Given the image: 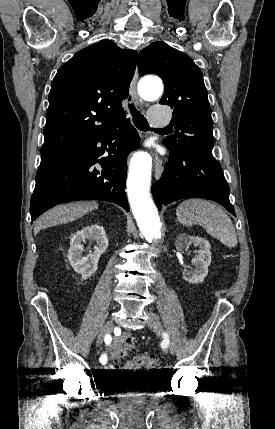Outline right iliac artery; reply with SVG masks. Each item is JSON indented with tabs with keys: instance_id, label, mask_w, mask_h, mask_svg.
Masks as SVG:
<instances>
[{
	"instance_id": "1",
	"label": "right iliac artery",
	"mask_w": 275,
	"mask_h": 429,
	"mask_svg": "<svg viewBox=\"0 0 275 429\" xmlns=\"http://www.w3.org/2000/svg\"><path fill=\"white\" fill-rule=\"evenodd\" d=\"M104 341H105V343L107 345H109L111 343V341H112L111 335L110 334H106L105 338H104ZM99 360H100V363L105 364L107 362V355L106 354H102Z\"/></svg>"
}]
</instances>
